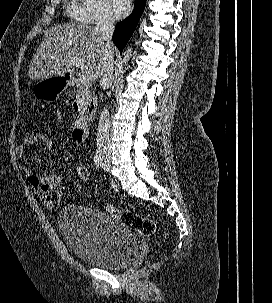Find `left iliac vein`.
Segmentation results:
<instances>
[{
	"label": "left iliac vein",
	"instance_id": "left-iliac-vein-1",
	"mask_svg": "<svg viewBox=\"0 0 272 303\" xmlns=\"http://www.w3.org/2000/svg\"><path fill=\"white\" fill-rule=\"evenodd\" d=\"M103 166H104V170H105L106 172H108V171L110 170V165H109V164L103 163Z\"/></svg>",
	"mask_w": 272,
	"mask_h": 303
}]
</instances>
